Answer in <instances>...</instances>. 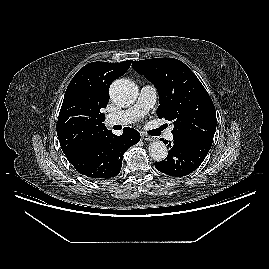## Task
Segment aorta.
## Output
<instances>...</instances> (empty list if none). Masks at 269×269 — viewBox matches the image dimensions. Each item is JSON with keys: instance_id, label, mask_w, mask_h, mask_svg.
Wrapping results in <instances>:
<instances>
[{"instance_id": "1", "label": "aorta", "mask_w": 269, "mask_h": 269, "mask_svg": "<svg viewBox=\"0 0 269 269\" xmlns=\"http://www.w3.org/2000/svg\"><path fill=\"white\" fill-rule=\"evenodd\" d=\"M136 95V85L127 79H118L110 87L111 99L119 106H127L133 103ZM149 154L153 160L162 161L167 157V146L162 141H154L149 146Z\"/></svg>"}]
</instances>
